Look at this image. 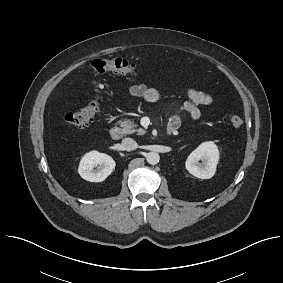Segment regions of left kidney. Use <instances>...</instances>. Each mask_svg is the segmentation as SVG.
I'll return each mask as SVG.
<instances>
[{
  "label": "left kidney",
  "mask_w": 283,
  "mask_h": 283,
  "mask_svg": "<svg viewBox=\"0 0 283 283\" xmlns=\"http://www.w3.org/2000/svg\"><path fill=\"white\" fill-rule=\"evenodd\" d=\"M218 161L219 150L217 146L213 142H204L188 156L185 166L193 176L209 179L214 176Z\"/></svg>",
  "instance_id": "5707ae66"
}]
</instances>
